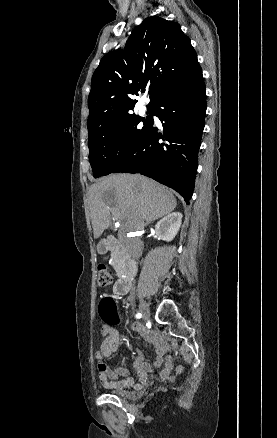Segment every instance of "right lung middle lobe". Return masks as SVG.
<instances>
[{"label":"right lung middle lobe","instance_id":"dd1d6c3e","mask_svg":"<svg viewBox=\"0 0 277 438\" xmlns=\"http://www.w3.org/2000/svg\"><path fill=\"white\" fill-rule=\"evenodd\" d=\"M150 121V116L129 114L89 126V160L94 177L113 173L136 147Z\"/></svg>","mask_w":277,"mask_h":438}]
</instances>
